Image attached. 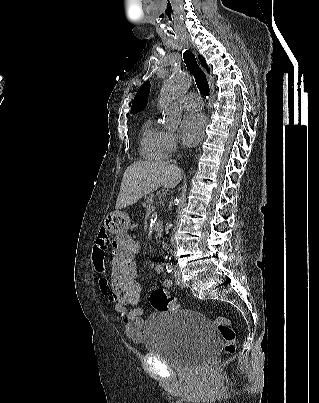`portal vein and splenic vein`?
<instances>
[{
    "mask_svg": "<svg viewBox=\"0 0 319 403\" xmlns=\"http://www.w3.org/2000/svg\"><path fill=\"white\" fill-rule=\"evenodd\" d=\"M149 209L152 210V211H154V210H155V206H151Z\"/></svg>",
    "mask_w": 319,
    "mask_h": 403,
    "instance_id": "obj_1",
    "label": "portal vein and splenic vein"
}]
</instances>
